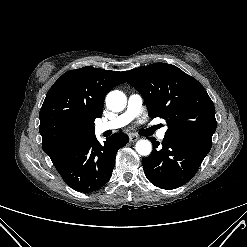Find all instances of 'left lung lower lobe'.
<instances>
[{
    "instance_id": "1",
    "label": "left lung lower lobe",
    "mask_w": 247,
    "mask_h": 247,
    "mask_svg": "<svg viewBox=\"0 0 247 247\" xmlns=\"http://www.w3.org/2000/svg\"><path fill=\"white\" fill-rule=\"evenodd\" d=\"M152 153L142 159L148 180L162 189H176L189 182L209 151L181 140L164 137L162 148L155 138Z\"/></svg>"
}]
</instances>
